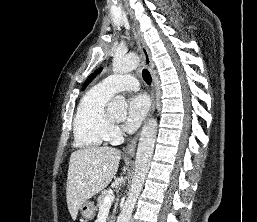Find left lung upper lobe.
Listing matches in <instances>:
<instances>
[{"instance_id": "5c2ea615", "label": "left lung upper lobe", "mask_w": 257, "mask_h": 222, "mask_svg": "<svg viewBox=\"0 0 257 222\" xmlns=\"http://www.w3.org/2000/svg\"><path fill=\"white\" fill-rule=\"evenodd\" d=\"M102 68L97 69L94 73H92L87 80L84 83V86L82 88V90L96 77L97 74H99L101 72Z\"/></svg>"}]
</instances>
